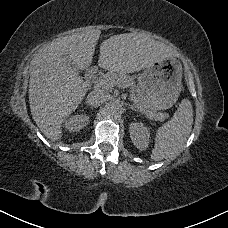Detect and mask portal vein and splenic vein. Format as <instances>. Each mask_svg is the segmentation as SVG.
<instances>
[{
    "instance_id": "portal-vein-and-splenic-vein-1",
    "label": "portal vein and splenic vein",
    "mask_w": 228,
    "mask_h": 228,
    "mask_svg": "<svg viewBox=\"0 0 228 228\" xmlns=\"http://www.w3.org/2000/svg\"><path fill=\"white\" fill-rule=\"evenodd\" d=\"M94 83H95V85H94L95 89L103 88V89L109 90L115 86L113 82L109 81L108 79H104V78H99V79L95 80ZM128 101L131 102L135 106L136 109H138L137 111H138V113L141 114V116L146 117V118L149 117L148 119L151 122L154 121V119H155L154 116H152V115L149 116L150 115L149 112L144 111L143 108L140 107V105L138 104V102L135 99H133L132 97H129Z\"/></svg>"
}]
</instances>
